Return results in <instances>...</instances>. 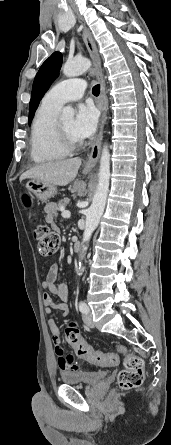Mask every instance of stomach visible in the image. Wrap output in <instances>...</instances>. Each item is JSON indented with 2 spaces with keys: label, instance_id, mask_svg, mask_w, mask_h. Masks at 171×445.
Wrapping results in <instances>:
<instances>
[{
  "label": "stomach",
  "instance_id": "obj_1",
  "mask_svg": "<svg viewBox=\"0 0 171 445\" xmlns=\"http://www.w3.org/2000/svg\"><path fill=\"white\" fill-rule=\"evenodd\" d=\"M26 193L35 196L41 201H46L57 193V188L40 180L32 179L25 184Z\"/></svg>",
  "mask_w": 171,
  "mask_h": 445
}]
</instances>
